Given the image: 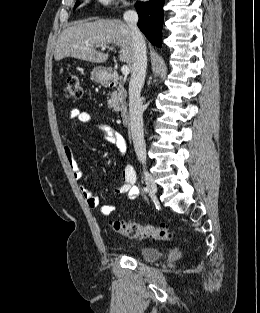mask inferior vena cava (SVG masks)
Masks as SVG:
<instances>
[{"label":"inferior vena cava","instance_id":"inferior-vena-cava-1","mask_svg":"<svg viewBox=\"0 0 260 313\" xmlns=\"http://www.w3.org/2000/svg\"><path fill=\"white\" fill-rule=\"evenodd\" d=\"M123 18L131 30L134 49L133 68L129 82L131 135L136 156L142 164H145L146 144L143 134V109L140 92L144 85L147 67L146 43L137 26L138 14L133 10H128L124 13Z\"/></svg>","mask_w":260,"mask_h":313}]
</instances>
